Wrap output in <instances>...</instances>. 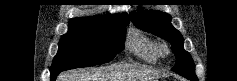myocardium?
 Masks as SVG:
<instances>
[{
    "label": "myocardium",
    "instance_id": "1",
    "mask_svg": "<svg viewBox=\"0 0 237 81\" xmlns=\"http://www.w3.org/2000/svg\"><path fill=\"white\" fill-rule=\"evenodd\" d=\"M158 52L160 56H167L169 54V48L166 44H161L158 48Z\"/></svg>",
    "mask_w": 237,
    "mask_h": 81
}]
</instances>
